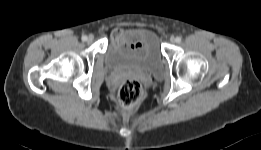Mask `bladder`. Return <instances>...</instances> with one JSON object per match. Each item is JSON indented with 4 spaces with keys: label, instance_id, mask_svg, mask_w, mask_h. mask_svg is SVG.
I'll list each match as a JSON object with an SVG mask.
<instances>
[{
    "label": "bladder",
    "instance_id": "obj_1",
    "mask_svg": "<svg viewBox=\"0 0 261 150\" xmlns=\"http://www.w3.org/2000/svg\"><path fill=\"white\" fill-rule=\"evenodd\" d=\"M109 69H136L159 75L163 70V55L157 37L149 29L127 31L123 37L109 45L104 53Z\"/></svg>",
    "mask_w": 261,
    "mask_h": 150
}]
</instances>
